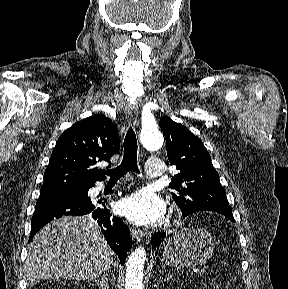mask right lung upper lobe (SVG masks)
Masks as SVG:
<instances>
[{
    "mask_svg": "<svg viewBox=\"0 0 288 289\" xmlns=\"http://www.w3.org/2000/svg\"><path fill=\"white\" fill-rule=\"evenodd\" d=\"M119 148L118 131L109 118L93 115L76 122L59 137L41 190L94 186L105 179L103 171L94 165L110 162Z\"/></svg>",
    "mask_w": 288,
    "mask_h": 289,
    "instance_id": "1",
    "label": "right lung upper lobe"
}]
</instances>
